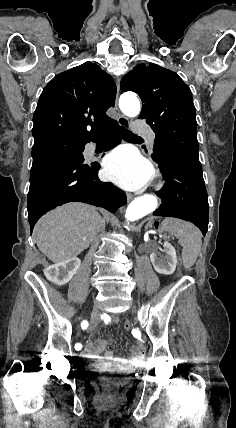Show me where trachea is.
I'll return each instance as SVG.
<instances>
[{"mask_svg":"<svg viewBox=\"0 0 236 428\" xmlns=\"http://www.w3.org/2000/svg\"><path fill=\"white\" fill-rule=\"evenodd\" d=\"M121 136L124 140L141 138V137H138V135H135V133L130 132L126 128H121Z\"/></svg>","mask_w":236,"mask_h":428,"instance_id":"trachea-1","label":"trachea"}]
</instances>
